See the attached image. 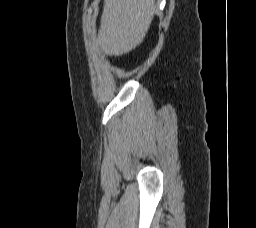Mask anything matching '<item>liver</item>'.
Wrapping results in <instances>:
<instances>
[{"label": "liver", "mask_w": 256, "mask_h": 228, "mask_svg": "<svg viewBox=\"0 0 256 228\" xmlns=\"http://www.w3.org/2000/svg\"><path fill=\"white\" fill-rule=\"evenodd\" d=\"M155 0H104L97 42L107 56L127 54L140 45L155 13Z\"/></svg>", "instance_id": "1"}]
</instances>
